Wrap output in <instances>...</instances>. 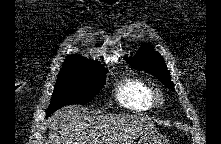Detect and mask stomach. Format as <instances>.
Returning a JSON list of instances; mask_svg holds the SVG:
<instances>
[{
  "label": "stomach",
  "instance_id": "1",
  "mask_svg": "<svg viewBox=\"0 0 221 144\" xmlns=\"http://www.w3.org/2000/svg\"><path fill=\"white\" fill-rule=\"evenodd\" d=\"M167 143V139L157 133L156 131H151L144 133L139 140L138 144H165Z\"/></svg>",
  "mask_w": 221,
  "mask_h": 144
}]
</instances>
